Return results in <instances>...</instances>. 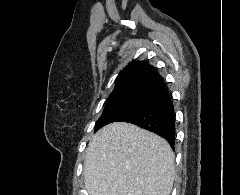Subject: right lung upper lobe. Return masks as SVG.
I'll return each instance as SVG.
<instances>
[{"instance_id":"right-lung-upper-lobe-1","label":"right lung upper lobe","mask_w":240,"mask_h":195,"mask_svg":"<svg viewBox=\"0 0 240 195\" xmlns=\"http://www.w3.org/2000/svg\"><path fill=\"white\" fill-rule=\"evenodd\" d=\"M163 82L156 69L144 61L128 64L115 81V88L110 95L125 93L148 94Z\"/></svg>"}]
</instances>
